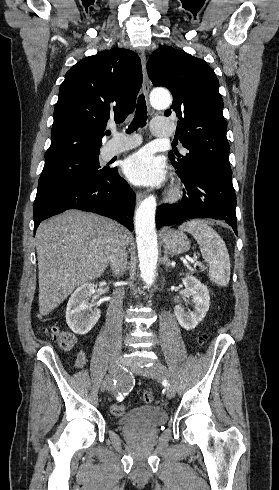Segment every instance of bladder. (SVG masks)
Returning <instances> with one entry per match:
<instances>
[{
    "label": "bladder",
    "instance_id": "obj_1",
    "mask_svg": "<svg viewBox=\"0 0 279 490\" xmlns=\"http://www.w3.org/2000/svg\"><path fill=\"white\" fill-rule=\"evenodd\" d=\"M167 422L164 408L155 405H141L128 411L118 419L121 430L133 431L160 427Z\"/></svg>",
    "mask_w": 279,
    "mask_h": 490
}]
</instances>
